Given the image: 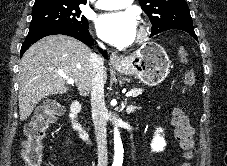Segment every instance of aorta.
<instances>
[{
	"instance_id": "obj_1",
	"label": "aorta",
	"mask_w": 227,
	"mask_h": 166,
	"mask_svg": "<svg viewBox=\"0 0 227 166\" xmlns=\"http://www.w3.org/2000/svg\"><path fill=\"white\" fill-rule=\"evenodd\" d=\"M114 150H115V154H114L113 166H121L123 162L124 150H123V144L120 138V134L117 128H115V131H114Z\"/></svg>"
}]
</instances>
